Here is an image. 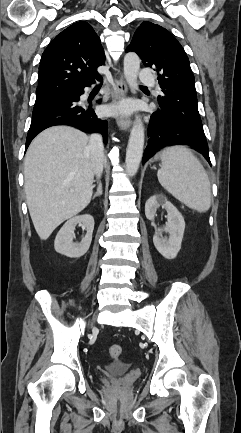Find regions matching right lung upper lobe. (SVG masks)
Listing matches in <instances>:
<instances>
[{"instance_id": "1", "label": "right lung upper lobe", "mask_w": 241, "mask_h": 433, "mask_svg": "<svg viewBox=\"0 0 241 433\" xmlns=\"http://www.w3.org/2000/svg\"><path fill=\"white\" fill-rule=\"evenodd\" d=\"M100 38L87 22L74 23L47 46L39 66L36 96L68 92L101 79L97 68L104 64Z\"/></svg>"}]
</instances>
